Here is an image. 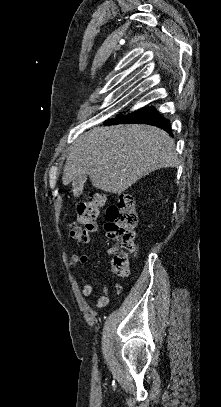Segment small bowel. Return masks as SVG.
Segmentation results:
<instances>
[{
	"label": "small bowel",
	"instance_id": "small-bowel-1",
	"mask_svg": "<svg viewBox=\"0 0 221 407\" xmlns=\"http://www.w3.org/2000/svg\"><path fill=\"white\" fill-rule=\"evenodd\" d=\"M97 230H98V227H97ZM79 242H81L83 244H88L90 242V238L81 239ZM88 261H89V256L87 254H79V255L73 254L70 256V258L68 260V268L73 270L78 265L85 264ZM81 282H82V287L80 289L81 295H82V297L87 298L93 292V285H92L90 279L86 276L81 277ZM114 289H115L116 294H120L123 289L122 284L119 282H116L114 285ZM108 302H109V289H108L107 284L105 282H103L96 307L102 308V307L106 306L108 304Z\"/></svg>",
	"mask_w": 221,
	"mask_h": 407
}]
</instances>
